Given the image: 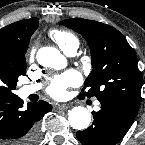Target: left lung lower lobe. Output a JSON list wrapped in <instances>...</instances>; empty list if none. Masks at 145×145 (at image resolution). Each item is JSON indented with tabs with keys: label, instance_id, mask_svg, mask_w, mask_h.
Listing matches in <instances>:
<instances>
[{
	"label": "left lung lower lobe",
	"instance_id": "obj_1",
	"mask_svg": "<svg viewBox=\"0 0 145 145\" xmlns=\"http://www.w3.org/2000/svg\"><path fill=\"white\" fill-rule=\"evenodd\" d=\"M94 121L76 136L83 145H115L132 125L137 111L115 103H101L98 112H92Z\"/></svg>",
	"mask_w": 145,
	"mask_h": 145
}]
</instances>
